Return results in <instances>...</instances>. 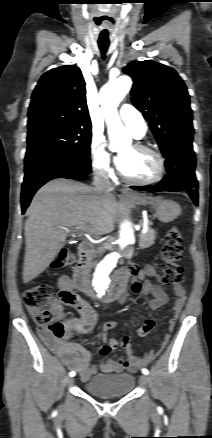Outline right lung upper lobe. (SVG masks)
Wrapping results in <instances>:
<instances>
[{"label":"right lung upper lobe","instance_id":"obj_1","mask_svg":"<svg viewBox=\"0 0 212 438\" xmlns=\"http://www.w3.org/2000/svg\"><path fill=\"white\" fill-rule=\"evenodd\" d=\"M28 118L29 130L42 126L90 129L81 70L65 65L43 74L32 94Z\"/></svg>","mask_w":212,"mask_h":438}]
</instances>
